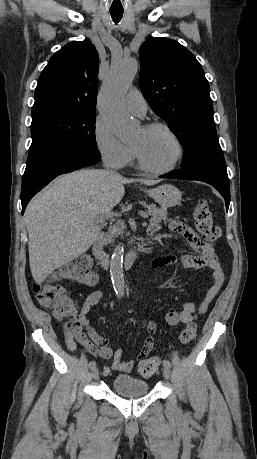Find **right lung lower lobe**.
<instances>
[{"instance_id":"obj_1","label":"right lung lower lobe","mask_w":257,"mask_h":459,"mask_svg":"<svg viewBox=\"0 0 257 459\" xmlns=\"http://www.w3.org/2000/svg\"><path fill=\"white\" fill-rule=\"evenodd\" d=\"M99 159L100 155L67 145L29 149L22 178V214L30 199L55 177L93 165Z\"/></svg>"}]
</instances>
